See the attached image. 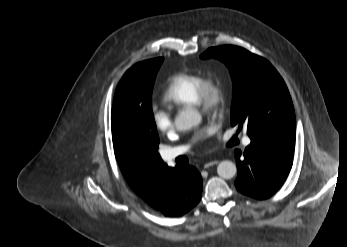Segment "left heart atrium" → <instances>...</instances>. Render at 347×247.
Wrapping results in <instances>:
<instances>
[{
  "mask_svg": "<svg viewBox=\"0 0 347 247\" xmlns=\"http://www.w3.org/2000/svg\"><path fill=\"white\" fill-rule=\"evenodd\" d=\"M214 129L215 128L213 125H206L199 130V132L196 135V138L197 139H204V138L208 137L210 134H212Z\"/></svg>",
  "mask_w": 347,
  "mask_h": 247,
  "instance_id": "obj_1",
  "label": "left heart atrium"
}]
</instances>
